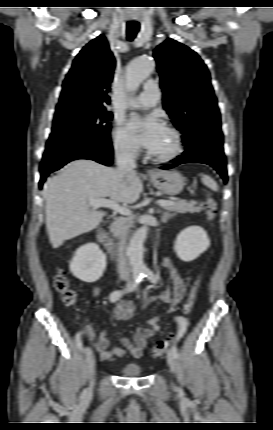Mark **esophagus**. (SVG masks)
I'll use <instances>...</instances> for the list:
<instances>
[{
  "label": "esophagus",
  "instance_id": "34e87169",
  "mask_svg": "<svg viewBox=\"0 0 273 430\" xmlns=\"http://www.w3.org/2000/svg\"><path fill=\"white\" fill-rule=\"evenodd\" d=\"M147 172H148V174H150V175L155 173V171H154V170H148Z\"/></svg>",
  "mask_w": 273,
  "mask_h": 430
}]
</instances>
